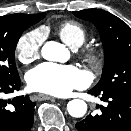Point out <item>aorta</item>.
Masks as SVG:
<instances>
[{
  "mask_svg": "<svg viewBox=\"0 0 131 131\" xmlns=\"http://www.w3.org/2000/svg\"><path fill=\"white\" fill-rule=\"evenodd\" d=\"M42 56L49 61H60L66 54L63 45L50 41L42 47ZM68 113L75 118L83 117L87 111V104L80 99H73L67 104Z\"/></svg>",
  "mask_w": 131,
  "mask_h": 131,
  "instance_id": "762f6f07",
  "label": "aorta"
}]
</instances>
